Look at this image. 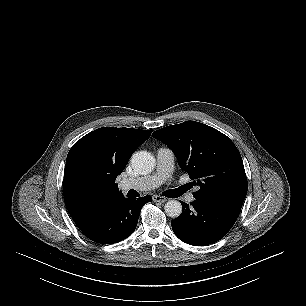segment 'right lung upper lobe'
Here are the masks:
<instances>
[{"instance_id": "cb5924a9", "label": "right lung upper lobe", "mask_w": 306, "mask_h": 306, "mask_svg": "<svg viewBox=\"0 0 306 306\" xmlns=\"http://www.w3.org/2000/svg\"><path fill=\"white\" fill-rule=\"evenodd\" d=\"M152 130L102 127L70 149L63 181L64 201L77 226L91 221L125 197L115 180Z\"/></svg>"}]
</instances>
